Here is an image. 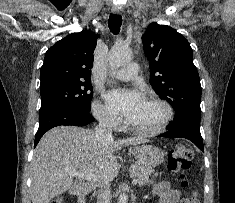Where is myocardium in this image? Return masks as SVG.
<instances>
[{
	"mask_svg": "<svg viewBox=\"0 0 235 203\" xmlns=\"http://www.w3.org/2000/svg\"><path fill=\"white\" fill-rule=\"evenodd\" d=\"M147 101L158 104L163 109V117L161 121L152 128H139L132 125L130 122L128 123V128L134 132L135 134L142 135V136H155L158 134L163 133L169 124L171 123L174 111L172 106L164 99L159 97H149Z\"/></svg>",
	"mask_w": 235,
	"mask_h": 203,
	"instance_id": "f54148a6",
	"label": "myocardium"
}]
</instances>
